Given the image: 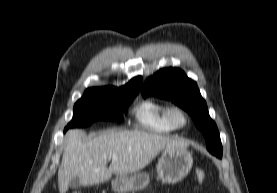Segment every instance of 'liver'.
Segmentation results:
<instances>
[{"label":"liver","mask_w":277,"mask_h":193,"mask_svg":"<svg viewBox=\"0 0 277 193\" xmlns=\"http://www.w3.org/2000/svg\"><path fill=\"white\" fill-rule=\"evenodd\" d=\"M85 135L78 129L66 134L58 170L60 193L67 192L70 181L75 177L84 186L105 182L112 174L126 176L138 172L165 149L188 146L183 139L140 130H107L83 141ZM112 154H116L117 158L112 159L108 168L107 162Z\"/></svg>","instance_id":"obj_1"}]
</instances>
